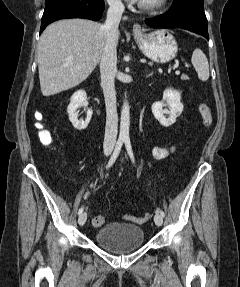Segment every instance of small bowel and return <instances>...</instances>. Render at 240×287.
Returning a JSON list of instances; mask_svg holds the SVG:
<instances>
[{
  "label": "small bowel",
  "instance_id": "small-bowel-1",
  "mask_svg": "<svg viewBox=\"0 0 240 287\" xmlns=\"http://www.w3.org/2000/svg\"><path fill=\"white\" fill-rule=\"evenodd\" d=\"M176 149L175 145L169 147H154L152 151L153 158L156 160H161L166 158L171 152Z\"/></svg>",
  "mask_w": 240,
  "mask_h": 287
}]
</instances>
